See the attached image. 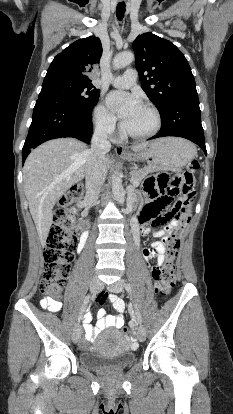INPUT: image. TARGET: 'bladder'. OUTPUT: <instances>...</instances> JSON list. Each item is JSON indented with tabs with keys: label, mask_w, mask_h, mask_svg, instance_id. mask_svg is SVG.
<instances>
[{
	"label": "bladder",
	"mask_w": 233,
	"mask_h": 414,
	"mask_svg": "<svg viewBox=\"0 0 233 414\" xmlns=\"http://www.w3.org/2000/svg\"><path fill=\"white\" fill-rule=\"evenodd\" d=\"M80 363L95 370L118 369L130 366L134 353L128 351L127 341L119 330H109L101 334L94 347L79 356Z\"/></svg>",
	"instance_id": "1"
}]
</instances>
